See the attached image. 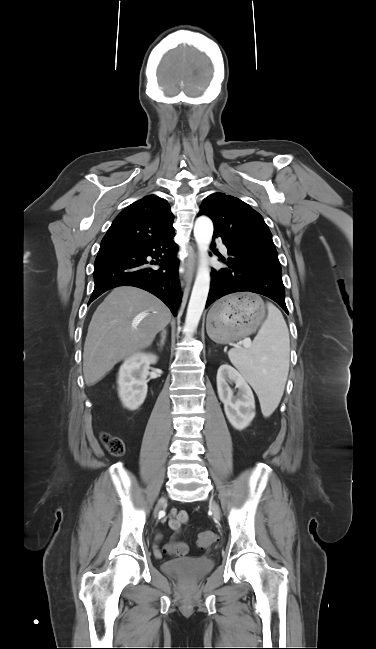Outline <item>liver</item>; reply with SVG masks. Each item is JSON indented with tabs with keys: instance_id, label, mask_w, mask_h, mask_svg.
Listing matches in <instances>:
<instances>
[{
	"instance_id": "6515ba94",
	"label": "liver",
	"mask_w": 376,
	"mask_h": 649,
	"mask_svg": "<svg viewBox=\"0 0 376 649\" xmlns=\"http://www.w3.org/2000/svg\"><path fill=\"white\" fill-rule=\"evenodd\" d=\"M169 308L151 293L116 287L94 312L83 352L87 386L104 378L116 363L151 345L169 322Z\"/></svg>"
}]
</instances>
